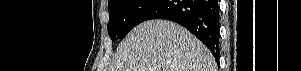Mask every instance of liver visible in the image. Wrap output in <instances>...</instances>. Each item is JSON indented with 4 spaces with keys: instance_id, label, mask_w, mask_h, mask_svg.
Wrapping results in <instances>:
<instances>
[{
    "instance_id": "6515ba94",
    "label": "liver",
    "mask_w": 301,
    "mask_h": 71,
    "mask_svg": "<svg viewBox=\"0 0 301 71\" xmlns=\"http://www.w3.org/2000/svg\"><path fill=\"white\" fill-rule=\"evenodd\" d=\"M107 71H216L209 49L182 26L150 20L120 43Z\"/></svg>"
}]
</instances>
